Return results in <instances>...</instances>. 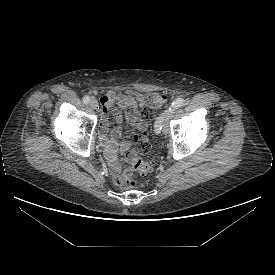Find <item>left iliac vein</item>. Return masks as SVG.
Here are the masks:
<instances>
[{
    "instance_id": "left-iliac-vein-1",
    "label": "left iliac vein",
    "mask_w": 275,
    "mask_h": 275,
    "mask_svg": "<svg viewBox=\"0 0 275 275\" xmlns=\"http://www.w3.org/2000/svg\"><path fill=\"white\" fill-rule=\"evenodd\" d=\"M173 114H174V110L166 109L161 115L162 116V131L164 134L169 133V120Z\"/></svg>"
}]
</instances>
